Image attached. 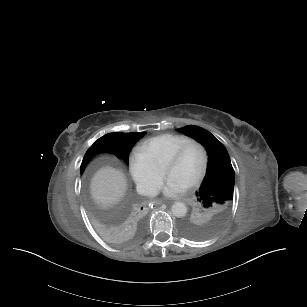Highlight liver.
<instances>
[{
    "instance_id": "obj_1",
    "label": "liver",
    "mask_w": 307,
    "mask_h": 307,
    "mask_svg": "<svg viewBox=\"0 0 307 307\" xmlns=\"http://www.w3.org/2000/svg\"><path fill=\"white\" fill-rule=\"evenodd\" d=\"M125 189L126 180L123 173L113 167L101 169L92 179V195L103 205L118 201L124 195Z\"/></svg>"
}]
</instances>
